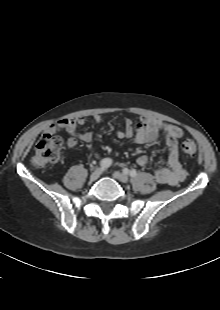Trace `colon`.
<instances>
[{
    "instance_id": "5ec220e1",
    "label": "colon",
    "mask_w": 220,
    "mask_h": 310,
    "mask_svg": "<svg viewBox=\"0 0 220 310\" xmlns=\"http://www.w3.org/2000/svg\"><path fill=\"white\" fill-rule=\"evenodd\" d=\"M62 138L51 133H46L40 137L35 145V152L32 163L36 167H44L55 163L61 153ZM182 151L187 155H194L197 152L195 142L185 138L181 143Z\"/></svg>"
}]
</instances>
